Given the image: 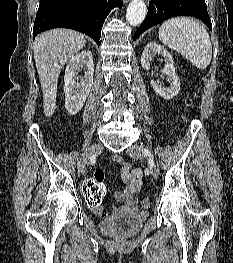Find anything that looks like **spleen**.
Here are the masks:
<instances>
[{"instance_id": "spleen-1", "label": "spleen", "mask_w": 233, "mask_h": 263, "mask_svg": "<svg viewBox=\"0 0 233 263\" xmlns=\"http://www.w3.org/2000/svg\"><path fill=\"white\" fill-rule=\"evenodd\" d=\"M159 39L180 53L196 68L206 69L212 59V45L206 29L193 18L176 17L159 28Z\"/></svg>"}]
</instances>
